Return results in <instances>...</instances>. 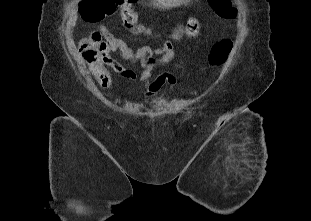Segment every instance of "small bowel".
<instances>
[{
    "instance_id": "1",
    "label": "small bowel",
    "mask_w": 311,
    "mask_h": 221,
    "mask_svg": "<svg viewBox=\"0 0 311 221\" xmlns=\"http://www.w3.org/2000/svg\"><path fill=\"white\" fill-rule=\"evenodd\" d=\"M148 37H158L159 34L151 25L143 28ZM103 36L108 46H127V53H110L109 57H104V63L111 67L121 78L137 81L139 80L147 99H153L163 86H172L176 78L170 71H164L158 76H154L156 69L168 65L175 55L174 42L183 37V25H180L171 35V39L160 47L142 46L133 48L124 40L116 37L110 31L104 29ZM111 54L117 55L121 60L129 64H140L139 72L125 66L119 59Z\"/></svg>"
}]
</instances>
